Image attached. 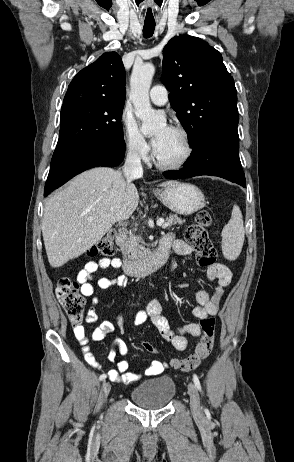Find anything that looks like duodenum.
Masks as SVG:
<instances>
[{"instance_id":"obj_1","label":"duodenum","mask_w":294,"mask_h":462,"mask_svg":"<svg viewBox=\"0 0 294 462\" xmlns=\"http://www.w3.org/2000/svg\"><path fill=\"white\" fill-rule=\"evenodd\" d=\"M127 234V228L118 229L115 241L121 249L127 245ZM169 249L168 244L161 242L146 258L136 260L124 257L123 269L131 277L153 273L164 265L169 256Z\"/></svg>"}]
</instances>
